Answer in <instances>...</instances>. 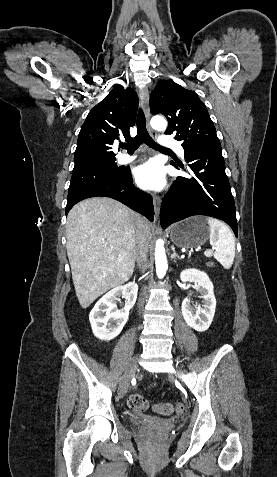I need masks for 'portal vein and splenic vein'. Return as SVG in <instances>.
I'll list each match as a JSON object with an SVG mask.
<instances>
[{
    "label": "portal vein and splenic vein",
    "instance_id": "portal-vein-and-splenic-vein-1",
    "mask_svg": "<svg viewBox=\"0 0 277 477\" xmlns=\"http://www.w3.org/2000/svg\"><path fill=\"white\" fill-rule=\"evenodd\" d=\"M205 255L206 256H211L212 255V250H206Z\"/></svg>",
    "mask_w": 277,
    "mask_h": 477
}]
</instances>
